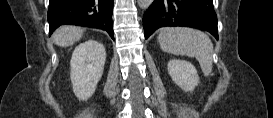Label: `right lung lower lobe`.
I'll return each instance as SVG.
<instances>
[{
	"mask_svg": "<svg viewBox=\"0 0 273 118\" xmlns=\"http://www.w3.org/2000/svg\"><path fill=\"white\" fill-rule=\"evenodd\" d=\"M113 0H50L49 36L61 25L73 24L107 31L112 39Z\"/></svg>",
	"mask_w": 273,
	"mask_h": 118,
	"instance_id": "1",
	"label": "right lung lower lobe"
}]
</instances>
